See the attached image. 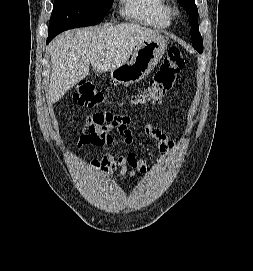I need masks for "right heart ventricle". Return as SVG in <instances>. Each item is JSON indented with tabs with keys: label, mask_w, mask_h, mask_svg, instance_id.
I'll list each match as a JSON object with an SVG mask.
<instances>
[{
	"label": "right heart ventricle",
	"mask_w": 253,
	"mask_h": 271,
	"mask_svg": "<svg viewBox=\"0 0 253 271\" xmlns=\"http://www.w3.org/2000/svg\"><path fill=\"white\" fill-rule=\"evenodd\" d=\"M127 17L154 28H167L171 24L167 0H120Z\"/></svg>",
	"instance_id": "right-heart-ventricle-1"
}]
</instances>
